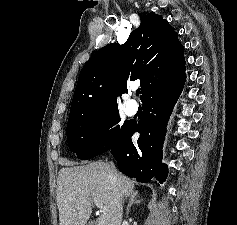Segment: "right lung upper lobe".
Wrapping results in <instances>:
<instances>
[{
	"mask_svg": "<svg viewBox=\"0 0 237 225\" xmlns=\"http://www.w3.org/2000/svg\"><path fill=\"white\" fill-rule=\"evenodd\" d=\"M183 49L167 20L145 15L123 45L104 46L83 66L70 115L85 119L118 109L117 95L128 92L129 81L140 80L141 100L166 82L184 81Z\"/></svg>",
	"mask_w": 237,
	"mask_h": 225,
	"instance_id": "obj_1",
	"label": "right lung upper lobe"
}]
</instances>
